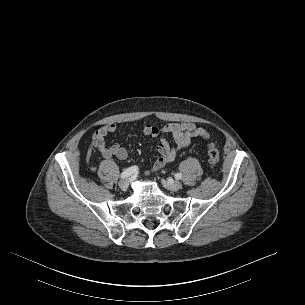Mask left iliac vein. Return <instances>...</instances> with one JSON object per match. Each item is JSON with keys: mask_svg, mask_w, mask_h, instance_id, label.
Wrapping results in <instances>:
<instances>
[{"mask_svg": "<svg viewBox=\"0 0 305 305\" xmlns=\"http://www.w3.org/2000/svg\"><path fill=\"white\" fill-rule=\"evenodd\" d=\"M162 184L171 191H178L182 188V183L180 181H167L162 179Z\"/></svg>", "mask_w": 305, "mask_h": 305, "instance_id": "4c4485c4", "label": "left iliac vein"}]
</instances>
